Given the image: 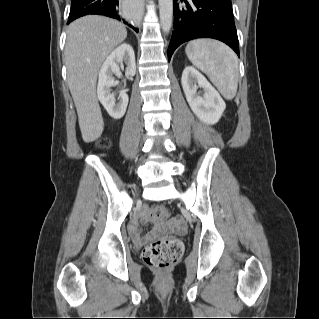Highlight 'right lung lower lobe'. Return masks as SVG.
<instances>
[{
    "label": "right lung lower lobe",
    "mask_w": 319,
    "mask_h": 319,
    "mask_svg": "<svg viewBox=\"0 0 319 319\" xmlns=\"http://www.w3.org/2000/svg\"><path fill=\"white\" fill-rule=\"evenodd\" d=\"M118 7L119 0H72L68 24L79 17L97 14L123 21L129 25L120 17ZM135 30L138 32V29Z\"/></svg>",
    "instance_id": "98d812e1"
}]
</instances>
